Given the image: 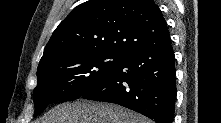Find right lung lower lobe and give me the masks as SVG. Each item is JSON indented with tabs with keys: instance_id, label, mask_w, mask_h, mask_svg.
<instances>
[{
	"instance_id": "obj_1",
	"label": "right lung lower lobe",
	"mask_w": 221,
	"mask_h": 123,
	"mask_svg": "<svg viewBox=\"0 0 221 123\" xmlns=\"http://www.w3.org/2000/svg\"><path fill=\"white\" fill-rule=\"evenodd\" d=\"M175 57L170 38L126 54L102 83L81 97L119 104L156 123H172L176 98Z\"/></svg>"
}]
</instances>
